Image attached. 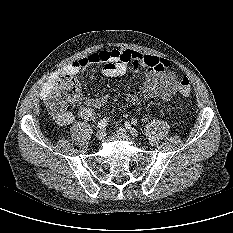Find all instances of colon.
<instances>
[{
    "label": "colon",
    "instance_id": "colon-1",
    "mask_svg": "<svg viewBox=\"0 0 233 233\" xmlns=\"http://www.w3.org/2000/svg\"><path fill=\"white\" fill-rule=\"evenodd\" d=\"M178 91L183 96L191 94V84L187 77L178 80ZM80 96V87L75 78L66 76L59 80L51 98V107L55 111H62L70 102H75Z\"/></svg>",
    "mask_w": 233,
    "mask_h": 233
}]
</instances>
